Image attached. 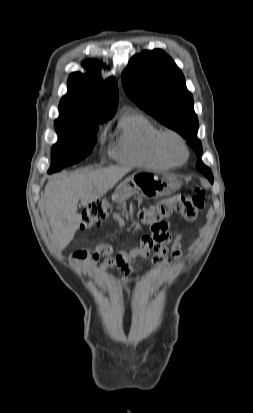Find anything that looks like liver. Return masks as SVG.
Masks as SVG:
<instances>
[{
	"instance_id": "liver-1",
	"label": "liver",
	"mask_w": 253,
	"mask_h": 413,
	"mask_svg": "<svg viewBox=\"0 0 253 413\" xmlns=\"http://www.w3.org/2000/svg\"><path fill=\"white\" fill-rule=\"evenodd\" d=\"M130 171L111 166L99 170H82L54 177L45 186L44 205L52 229L51 241L62 251L74 238L82 216L77 213L79 200L83 206L106 194Z\"/></svg>"
}]
</instances>
